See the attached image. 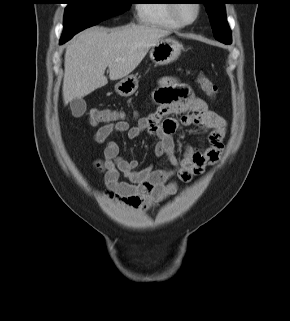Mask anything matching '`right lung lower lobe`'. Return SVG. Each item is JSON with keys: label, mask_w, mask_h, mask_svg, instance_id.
I'll use <instances>...</instances> for the list:
<instances>
[{"label": "right lung lower lobe", "mask_w": 290, "mask_h": 321, "mask_svg": "<svg viewBox=\"0 0 290 321\" xmlns=\"http://www.w3.org/2000/svg\"><path fill=\"white\" fill-rule=\"evenodd\" d=\"M61 44H63L64 42L61 40V42H60Z\"/></svg>", "instance_id": "obj_1"}]
</instances>
